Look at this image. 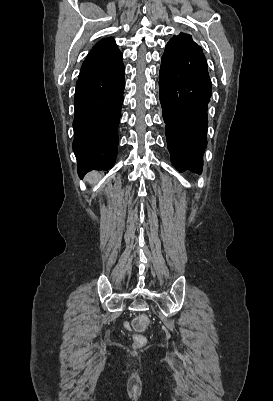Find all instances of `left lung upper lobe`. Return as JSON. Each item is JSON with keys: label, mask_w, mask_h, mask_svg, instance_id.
Returning a JSON list of instances; mask_svg holds the SVG:
<instances>
[{"label": "left lung upper lobe", "mask_w": 273, "mask_h": 401, "mask_svg": "<svg viewBox=\"0 0 273 401\" xmlns=\"http://www.w3.org/2000/svg\"><path fill=\"white\" fill-rule=\"evenodd\" d=\"M190 37L189 34L180 33L178 36H174L171 40L185 39Z\"/></svg>", "instance_id": "obj_1"}]
</instances>
